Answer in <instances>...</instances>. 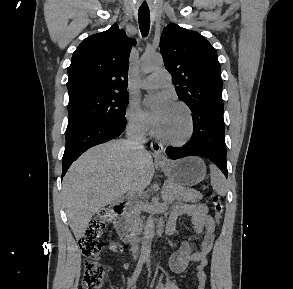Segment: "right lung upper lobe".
<instances>
[{
    "mask_svg": "<svg viewBox=\"0 0 293 289\" xmlns=\"http://www.w3.org/2000/svg\"><path fill=\"white\" fill-rule=\"evenodd\" d=\"M117 24L82 41L68 67L69 101L76 98L127 92V75L131 46Z\"/></svg>",
    "mask_w": 293,
    "mask_h": 289,
    "instance_id": "right-lung-upper-lobe-1",
    "label": "right lung upper lobe"
}]
</instances>
